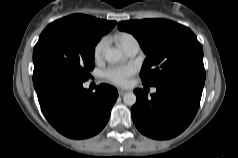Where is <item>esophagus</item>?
Here are the masks:
<instances>
[{
	"mask_svg": "<svg viewBox=\"0 0 238 158\" xmlns=\"http://www.w3.org/2000/svg\"><path fill=\"white\" fill-rule=\"evenodd\" d=\"M126 93L125 90H118V94L119 96H123Z\"/></svg>",
	"mask_w": 238,
	"mask_h": 158,
	"instance_id": "34e87169",
	"label": "esophagus"
}]
</instances>
